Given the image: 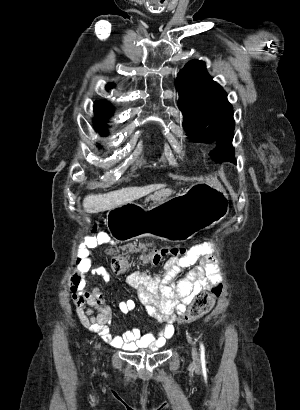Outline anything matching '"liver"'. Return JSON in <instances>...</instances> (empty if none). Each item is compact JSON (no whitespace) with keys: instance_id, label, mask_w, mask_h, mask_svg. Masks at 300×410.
Segmentation results:
<instances>
[{"instance_id":"liver-1","label":"liver","mask_w":300,"mask_h":410,"mask_svg":"<svg viewBox=\"0 0 300 410\" xmlns=\"http://www.w3.org/2000/svg\"><path fill=\"white\" fill-rule=\"evenodd\" d=\"M163 185H149L144 187H128L108 192L106 194H90L84 198L83 207L89 213L104 212L122 204L137 200Z\"/></svg>"}]
</instances>
